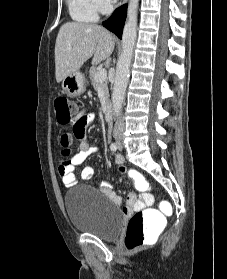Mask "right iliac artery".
<instances>
[{"mask_svg": "<svg viewBox=\"0 0 227 279\" xmlns=\"http://www.w3.org/2000/svg\"><path fill=\"white\" fill-rule=\"evenodd\" d=\"M117 148H118V146H117L116 143H112V144L110 145V149H111L112 151H116Z\"/></svg>", "mask_w": 227, "mask_h": 279, "instance_id": "right-iliac-artery-1", "label": "right iliac artery"}]
</instances>
